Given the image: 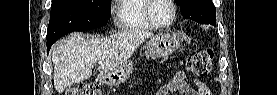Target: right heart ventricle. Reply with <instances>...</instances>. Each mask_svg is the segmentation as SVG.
<instances>
[{
	"mask_svg": "<svg viewBox=\"0 0 277 95\" xmlns=\"http://www.w3.org/2000/svg\"><path fill=\"white\" fill-rule=\"evenodd\" d=\"M149 0H119L116 23L122 30L152 29L154 26L146 17Z\"/></svg>",
	"mask_w": 277,
	"mask_h": 95,
	"instance_id": "e07e8e85",
	"label": "right heart ventricle"
}]
</instances>
